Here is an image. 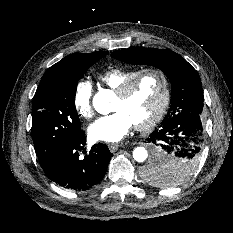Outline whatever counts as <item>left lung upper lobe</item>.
Returning <instances> with one entry per match:
<instances>
[{"instance_id":"obj_1","label":"left lung upper lobe","mask_w":233,"mask_h":233,"mask_svg":"<svg viewBox=\"0 0 233 233\" xmlns=\"http://www.w3.org/2000/svg\"><path fill=\"white\" fill-rule=\"evenodd\" d=\"M111 56L133 65L159 68L171 82V106L162 122L190 115L200 119L203 110V91L197 71L179 54L168 49L132 48L114 51ZM199 158H171L166 164H148L143 177L164 186L186 181L198 166Z\"/></svg>"}]
</instances>
